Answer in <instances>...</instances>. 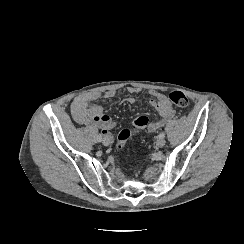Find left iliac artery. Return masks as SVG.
Segmentation results:
<instances>
[{
	"label": "left iliac artery",
	"instance_id": "obj_1",
	"mask_svg": "<svg viewBox=\"0 0 244 244\" xmlns=\"http://www.w3.org/2000/svg\"><path fill=\"white\" fill-rule=\"evenodd\" d=\"M158 137H160V138H164V137H165V133H164V132L160 133V134L158 135Z\"/></svg>",
	"mask_w": 244,
	"mask_h": 244
}]
</instances>
